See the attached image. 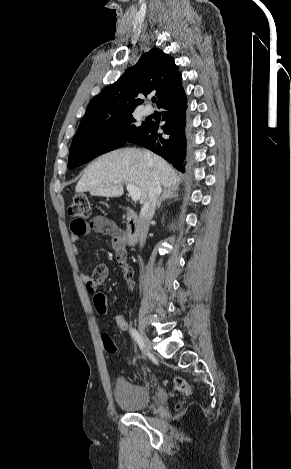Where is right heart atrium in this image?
<instances>
[{"instance_id": "right-heart-atrium-1", "label": "right heart atrium", "mask_w": 291, "mask_h": 469, "mask_svg": "<svg viewBox=\"0 0 291 469\" xmlns=\"http://www.w3.org/2000/svg\"><path fill=\"white\" fill-rule=\"evenodd\" d=\"M123 135V129L121 127H115L113 130H112V136L114 138H119Z\"/></svg>"}]
</instances>
